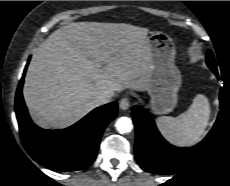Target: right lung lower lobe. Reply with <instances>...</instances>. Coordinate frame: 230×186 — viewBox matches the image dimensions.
Segmentation results:
<instances>
[{
  "mask_svg": "<svg viewBox=\"0 0 230 186\" xmlns=\"http://www.w3.org/2000/svg\"><path fill=\"white\" fill-rule=\"evenodd\" d=\"M25 71L16 92L15 112L27 152L36 162L50 169L76 171L87 168L96 158L105 127L117 116V102L94 109L66 129H41L31 121L23 100Z\"/></svg>",
  "mask_w": 230,
  "mask_h": 186,
  "instance_id": "98d812e1",
  "label": "right lung lower lobe"
}]
</instances>
